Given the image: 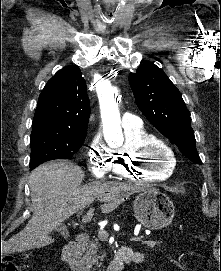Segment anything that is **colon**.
Masks as SVG:
<instances>
[{"label":"colon","mask_w":221,"mask_h":271,"mask_svg":"<svg viewBox=\"0 0 221 271\" xmlns=\"http://www.w3.org/2000/svg\"><path fill=\"white\" fill-rule=\"evenodd\" d=\"M0 271H23V266L16 264L11 258H4L0 262Z\"/></svg>","instance_id":"1"}]
</instances>
